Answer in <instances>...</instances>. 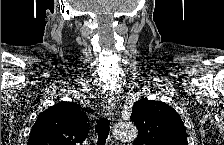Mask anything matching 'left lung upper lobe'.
Returning <instances> with one entry per match:
<instances>
[{
    "label": "left lung upper lobe",
    "mask_w": 224,
    "mask_h": 145,
    "mask_svg": "<svg viewBox=\"0 0 224 145\" xmlns=\"http://www.w3.org/2000/svg\"><path fill=\"white\" fill-rule=\"evenodd\" d=\"M130 119L138 128L136 145H188L178 113L161 101H136Z\"/></svg>",
    "instance_id": "obj_1"
}]
</instances>
